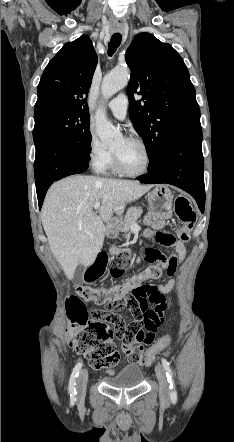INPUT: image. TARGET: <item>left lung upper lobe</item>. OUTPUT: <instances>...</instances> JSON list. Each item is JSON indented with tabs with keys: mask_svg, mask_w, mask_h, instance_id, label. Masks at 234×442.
Returning a JSON list of instances; mask_svg holds the SVG:
<instances>
[{
	"mask_svg": "<svg viewBox=\"0 0 234 442\" xmlns=\"http://www.w3.org/2000/svg\"><path fill=\"white\" fill-rule=\"evenodd\" d=\"M125 58L131 70L127 88L130 118L144 141L151 169L173 136L200 124V109L188 69L171 45L140 33ZM136 94L142 99L135 101Z\"/></svg>",
	"mask_w": 234,
	"mask_h": 442,
	"instance_id": "5c2ea615",
	"label": "left lung upper lobe"
}]
</instances>
